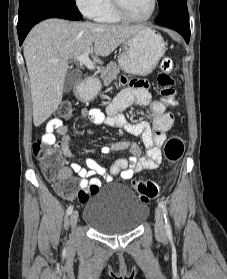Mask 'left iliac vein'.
Listing matches in <instances>:
<instances>
[{"instance_id": "1", "label": "left iliac vein", "mask_w": 227, "mask_h": 279, "mask_svg": "<svg viewBox=\"0 0 227 279\" xmlns=\"http://www.w3.org/2000/svg\"><path fill=\"white\" fill-rule=\"evenodd\" d=\"M155 220H156L155 229L157 235L159 237L165 238L166 231L164 228V217H163L162 210L159 207L155 209Z\"/></svg>"}]
</instances>
